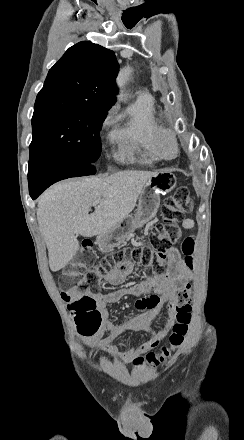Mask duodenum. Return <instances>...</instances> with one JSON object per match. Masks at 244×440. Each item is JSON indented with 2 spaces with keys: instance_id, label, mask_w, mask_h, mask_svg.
I'll return each instance as SVG.
<instances>
[{
  "instance_id": "1",
  "label": "duodenum",
  "mask_w": 244,
  "mask_h": 440,
  "mask_svg": "<svg viewBox=\"0 0 244 440\" xmlns=\"http://www.w3.org/2000/svg\"><path fill=\"white\" fill-rule=\"evenodd\" d=\"M113 240V234L109 233L107 235H99L97 237V241L102 245H107L109 242Z\"/></svg>"
}]
</instances>
